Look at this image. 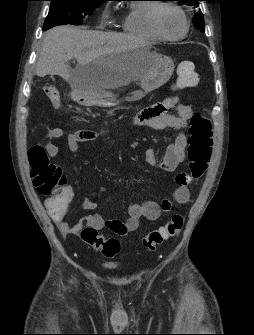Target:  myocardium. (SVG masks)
<instances>
[{
  "mask_svg": "<svg viewBox=\"0 0 254 335\" xmlns=\"http://www.w3.org/2000/svg\"><path fill=\"white\" fill-rule=\"evenodd\" d=\"M163 8H172L175 11H177L183 21H184V30L183 32L178 35V36H167L165 35L160 27H159V13ZM149 23H150V27L152 29V31L162 40H166V41H179L182 40L183 38H185V36L188 34L189 30H190V22L189 19L186 15V13L184 12V10L178 6L177 4L171 3V2H160L157 3L153 6L150 15H149Z\"/></svg>",
  "mask_w": 254,
  "mask_h": 335,
  "instance_id": "f54148a6",
  "label": "myocardium"
}]
</instances>
